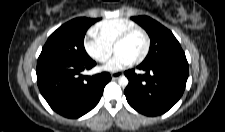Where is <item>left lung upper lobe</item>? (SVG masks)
Segmentation results:
<instances>
[{"instance_id":"5c2ea615","label":"left lung upper lobe","mask_w":225,"mask_h":132,"mask_svg":"<svg viewBox=\"0 0 225 132\" xmlns=\"http://www.w3.org/2000/svg\"><path fill=\"white\" fill-rule=\"evenodd\" d=\"M131 19L142 26L151 39L149 53L141 64L186 58L175 36L163 25L147 16H137Z\"/></svg>"}]
</instances>
